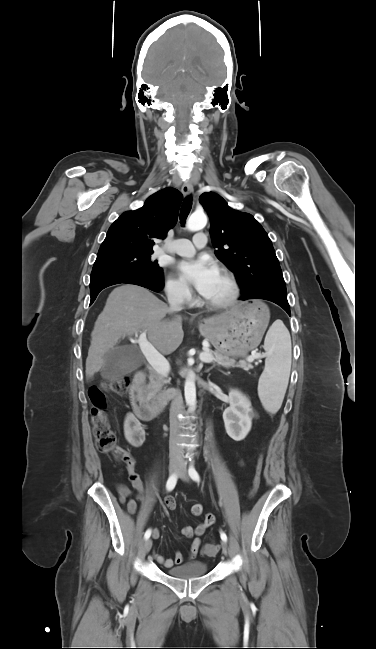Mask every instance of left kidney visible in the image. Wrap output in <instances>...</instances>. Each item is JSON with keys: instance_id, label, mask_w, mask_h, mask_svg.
<instances>
[{"instance_id": "left-kidney-1", "label": "left kidney", "mask_w": 376, "mask_h": 649, "mask_svg": "<svg viewBox=\"0 0 376 649\" xmlns=\"http://www.w3.org/2000/svg\"><path fill=\"white\" fill-rule=\"evenodd\" d=\"M229 404L223 412L227 434L235 441L243 440L251 430V402L238 390H230Z\"/></svg>"}]
</instances>
